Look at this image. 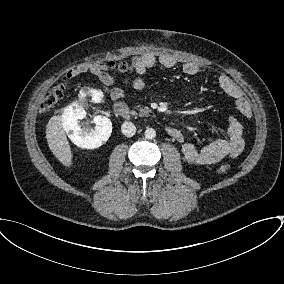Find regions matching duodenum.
<instances>
[{
	"mask_svg": "<svg viewBox=\"0 0 284 284\" xmlns=\"http://www.w3.org/2000/svg\"><path fill=\"white\" fill-rule=\"evenodd\" d=\"M114 111L121 116L125 120H130L132 118V112L129 107L121 101H117L114 103ZM167 134L171 137H174L178 134L177 129L175 128H167Z\"/></svg>",
	"mask_w": 284,
	"mask_h": 284,
	"instance_id": "1",
	"label": "duodenum"
}]
</instances>
